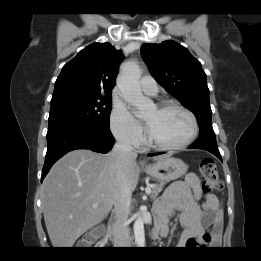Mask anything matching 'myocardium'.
Returning <instances> with one entry per match:
<instances>
[{
	"label": "myocardium",
	"instance_id": "1",
	"mask_svg": "<svg viewBox=\"0 0 261 261\" xmlns=\"http://www.w3.org/2000/svg\"><path fill=\"white\" fill-rule=\"evenodd\" d=\"M158 110L161 111H165V110H169V109H177L182 111L183 113H185L188 118L190 119L191 122V132L190 134L187 136L186 139H184L183 141L176 143V144H163L160 143L158 141H156L148 127L146 128V135H147V144L155 149H159V150H165V151H170V150H180L183 149L185 147H187L188 145H190L196 138L198 131H199V126H198V121L196 116L194 115V113L188 109L187 107H185L184 105L178 103V102H174V101H165L160 103L157 106Z\"/></svg>",
	"mask_w": 261,
	"mask_h": 261
}]
</instances>
